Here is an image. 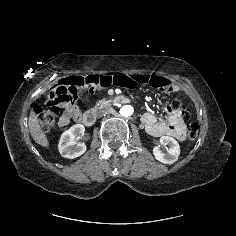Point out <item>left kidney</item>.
I'll list each match as a JSON object with an SVG mask.
<instances>
[{
  "mask_svg": "<svg viewBox=\"0 0 236 236\" xmlns=\"http://www.w3.org/2000/svg\"><path fill=\"white\" fill-rule=\"evenodd\" d=\"M160 142L162 145L167 147V153H164L158 146L154 147L153 154L155 158L164 164L174 163L180 154V146L178 142L169 136H162Z\"/></svg>",
  "mask_w": 236,
  "mask_h": 236,
  "instance_id": "left-kidney-1",
  "label": "left kidney"
}]
</instances>
